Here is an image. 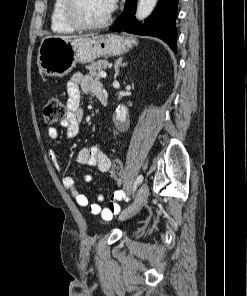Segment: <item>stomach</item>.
<instances>
[{
  "mask_svg": "<svg viewBox=\"0 0 247 296\" xmlns=\"http://www.w3.org/2000/svg\"><path fill=\"white\" fill-rule=\"evenodd\" d=\"M137 41L115 34L99 37L80 36L62 39L56 36L44 38L38 49V66L47 76L63 77L80 63H92L99 57L118 56L128 52Z\"/></svg>",
  "mask_w": 247,
  "mask_h": 296,
  "instance_id": "stomach-1",
  "label": "stomach"
}]
</instances>
